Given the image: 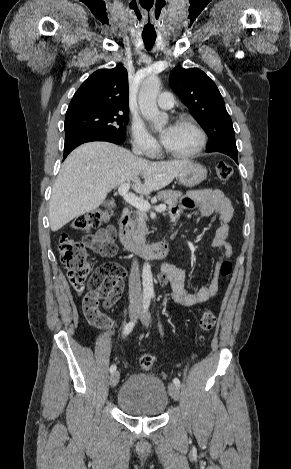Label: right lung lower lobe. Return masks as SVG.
<instances>
[{
  "instance_id": "1",
  "label": "right lung lower lobe",
  "mask_w": 291,
  "mask_h": 469,
  "mask_svg": "<svg viewBox=\"0 0 291 469\" xmlns=\"http://www.w3.org/2000/svg\"><path fill=\"white\" fill-rule=\"evenodd\" d=\"M91 141H107L115 144H122L125 141V134L111 135L103 133H74L66 135L64 144V158L80 144Z\"/></svg>"
}]
</instances>
